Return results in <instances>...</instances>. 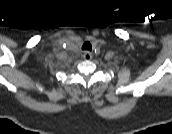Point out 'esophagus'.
<instances>
[{
    "label": "esophagus",
    "instance_id": "1",
    "mask_svg": "<svg viewBox=\"0 0 172 134\" xmlns=\"http://www.w3.org/2000/svg\"><path fill=\"white\" fill-rule=\"evenodd\" d=\"M83 58H84L85 60H91V59H92V53L89 52V51H84V52H83Z\"/></svg>",
    "mask_w": 172,
    "mask_h": 134
}]
</instances>
